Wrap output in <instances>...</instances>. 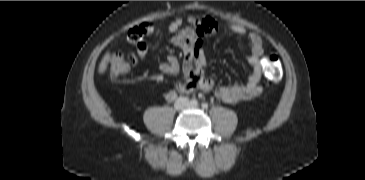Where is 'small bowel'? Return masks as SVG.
<instances>
[{
	"label": "small bowel",
	"mask_w": 365,
	"mask_h": 180,
	"mask_svg": "<svg viewBox=\"0 0 365 180\" xmlns=\"http://www.w3.org/2000/svg\"><path fill=\"white\" fill-rule=\"evenodd\" d=\"M220 29V25L211 18H175L169 23L165 31L157 30L154 33V37L158 38L163 34H172V44L182 50L185 58L184 64L181 68L178 59L173 55H169L165 61L159 64V69L173 76H178L182 73L186 79V82L179 86L182 91L212 90L215 86V81L205 74L207 62L203 50V39L209 35L216 34ZM230 29L235 34L247 38L250 46L247 61L253 67V72L244 83H233L218 87L215 90V96L227 103H237L253 99L263 91L260 81L262 77L261 56L264 52V42L259 34L247 32L241 26L232 25ZM137 53L142 60H146L148 55L147 45L144 43L139 44ZM175 96V91H169L166 94V99L171 101Z\"/></svg>",
	"instance_id": "c3829d8e"
}]
</instances>
